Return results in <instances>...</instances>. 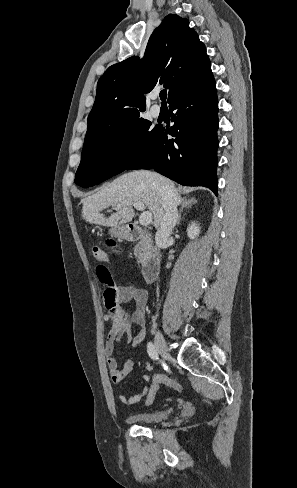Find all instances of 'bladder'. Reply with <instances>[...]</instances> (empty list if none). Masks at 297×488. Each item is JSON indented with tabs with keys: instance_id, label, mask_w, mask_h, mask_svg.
<instances>
[{
	"instance_id": "1",
	"label": "bladder",
	"mask_w": 297,
	"mask_h": 488,
	"mask_svg": "<svg viewBox=\"0 0 297 488\" xmlns=\"http://www.w3.org/2000/svg\"><path fill=\"white\" fill-rule=\"evenodd\" d=\"M168 416V411L156 413H132L126 417V420L131 424L151 425L166 419Z\"/></svg>"
}]
</instances>
